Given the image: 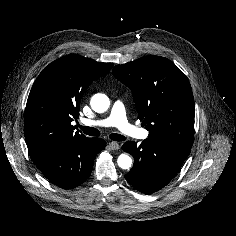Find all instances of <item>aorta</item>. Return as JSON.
Instances as JSON below:
<instances>
[{
	"mask_svg": "<svg viewBox=\"0 0 236 236\" xmlns=\"http://www.w3.org/2000/svg\"><path fill=\"white\" fill-rule=\"evenodd\" d=\"M110 105L109 98L104 96L101 99V103L97 101H91V107L95 112L102 113L105 112ZM118 166L122 169H129L132 165V158L127 154H121L117 160Z\"/></svg>",
	"mask_w": 236,
	"mask_h": 236,
	"instance_id": "obj_1",
	"label": "aorta"
}]
</instances>
